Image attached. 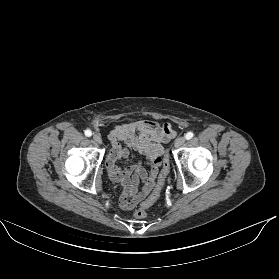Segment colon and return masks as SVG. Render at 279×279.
<instances>
[{"instance_id":"colon-1","label":"colon","mask_w":279,"mask_h":279,"mask_svg":"<svg viewBox=\"0 0 279 279\" xmlns=\"http://www.w3.org/2000/svg\"><path fill=\"white\" fill-rule=\"evenodd\" d=\"M169 172V157L166 154L163 158V166H162V170L160 173V176L158 178L157 184L153 190V192L151 193V195L141 204L140 208H138L135 211V216L137 218H145L147 216V209L153 205V203L158 199V197L160 196V193L162 191V188L164 186L165 183V179L168 175Z\"/></svg>"}]
</instances>
